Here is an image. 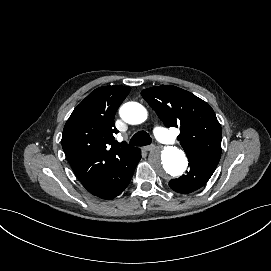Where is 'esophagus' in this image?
Wrapping results in <instances>:
<instances>
[{
	"label": "esophagus",
	"mask_w": 271,
	"mask_h": 271,
	"mask_svg": "<svg viewBox=\"0 0 271 271\" xmlns=\"http://www.w3.org/2000/svg\"><path fill=\"white\" fill-rule=\"evenodd\" d=\"M154 149H156V145L154 144L144 147L145 151H153Z\"/></svg>",
	"instance_id": "esophagus-1"
}]
</instances>
